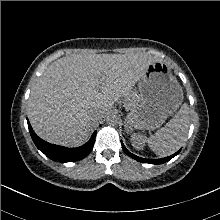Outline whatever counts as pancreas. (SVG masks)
<instances>
[{"label": "pancreas", "instance_id": "obj_1", "mask_svg": "<svg viewBox=\"0 0 220 220\" xmlns=\"http://www.w3.org/2000/svg\"><path fill=\"white\" fill-rule=\"evenodd\" d=\"M139 100V96L136 92L131 93L129 96L125 98V105L127 107L135 105Z\"/></svg>", "mask_w": 220, "mask_h": 220}]
</instances>
